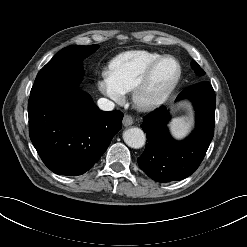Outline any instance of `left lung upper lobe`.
<instances>
[{"instance_id":"5c2ea615","label":"left lung upper lobe","mask_w":247,"mask_h":247,"mask_svg":"<svg viewBox=\"0 0 247 247\" xmlns=\"http://www.w3.org/2000/svg\"><path fill=\"white\" fill-rule=\"evenodd\" d=\"M192 67L198 76H203L205 74L204 70L196 62H192Z\"/></svg>"}]
</instances>
